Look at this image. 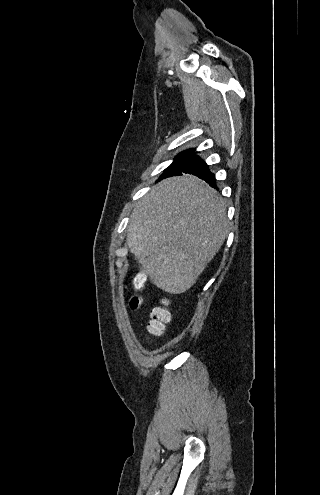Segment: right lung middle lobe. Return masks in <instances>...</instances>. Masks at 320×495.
Wrapping results in <instances>:
<instances>
[{
  "label": "right lung middle lobe",
  "mask_w": 320,
  "mask_h": 495,
  "mask_svg": "<svg viewBox=\"0 0 320 495\" xmlns=\"http://www.w3.org/2000/svg\"><path fill=\"white\" fill-rule=\"evenodd\" d=\"M194 149L184 151L175 157L172 164L161 175L162 178L168 177L180 171L188 161L193 157Z\"/></svg>",
  "instance_id": "obj_1"
}]
</instances>
